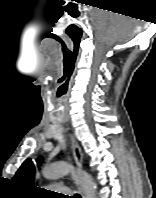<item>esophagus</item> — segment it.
Instances as JSON below:
<instances>
[{"label": "esophagus", "instance_id": "obj_1", "mask_svg": "<svg viewBox=\"0 0 156 198\" xmlns=\"http://www.w3.org/2000/svg\"><path fill=\"white\" fill-rule=\"evenodd\" d=\"M71 142H72V149H73V156L75 163L78 168H81L83 165V156H82L81 148L73 136H71ZM82 198H84L83 194H82Z\"/></svg>", "mask_w": 156, "mask_h": 198}]
</instances>
